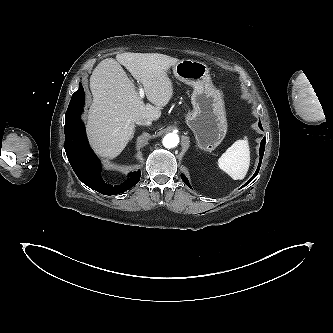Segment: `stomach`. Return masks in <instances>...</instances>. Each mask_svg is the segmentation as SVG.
I'll use <instances>...</instances> for the list:
<instances>
[{"label":"stomach","mask_w":333,"mask_h":333,"mask_svg":"<svg viewBox=\"0 0 333 333\" xmlns=\"http://www.w3.org/2000/svg\"><path fill=\"white\" fill-rule=\"evenodd\" d=\"M175 77L193 87V110L186 123L193 131L200 149L211 152L224 139L227 119L223 95L211 81L208 66L200 61L183 59L173 67Z\"/></svg>","instance_id":"obj_1"}]
</instances>
